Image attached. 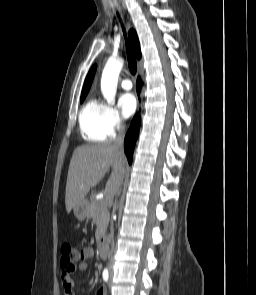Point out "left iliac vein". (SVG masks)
<instances>
[{
    "instance_id": "left-iliac-vein-1",
    "label": "left iliac vein",
    "mask_w": 256,
    "mask_h": 295,
    "mask_svg": "<svg viewBox=\"0 0 256 295\" xmlns=\"http://www.w3.org/2000/svg\"><path fill=\"white\" fill-rule=\"evenodd\" d=\"M108 285H109V286L112 285V274H110L109 281H108Z\"/></svg>"
}]
</instances>
